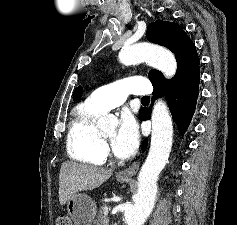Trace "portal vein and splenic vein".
Masks as SVG:
<instances>
[{
	"label": "portal vein and splenic vein",
	"instance_id": "1",
	"mask_svg": "<svg viewBox=\"0 0 237 225\" xmlns=\"http://www.w3.org/2000/svg\"><path fill=\"white\" fill-rule=\"evenodd\" d=\"M103 212H104V215H105V216L108 215V213H109V208H108V206H104V207H103Z\"/></svg>",
	"mask_w": 237,
	"mask_h": 225
}]
</instances>
